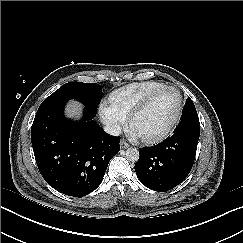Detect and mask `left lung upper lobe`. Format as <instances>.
I'll return each mask as SVG.
<instances>
[{"instance_id": "obj_1", "label": "left lung upper lobe", "mask_w": 243, "mask_h": 243, "mask_svg": "<svg viewBox=\"0 0 243 243\" xmlns=\"http://www.w3.org/2000/svg\"><path fill=\"white\" fill-rule=\"evenodd\" d=\"M189 117H198L196 108L190 99V97L186 101V105L182 111V119L189 118Z\"/></svg>"}]
</instances>
